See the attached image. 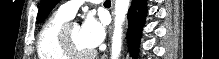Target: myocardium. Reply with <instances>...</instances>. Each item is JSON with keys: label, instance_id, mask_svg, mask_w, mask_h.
<instances>
[{"label": "myocardium", "instance_id": "obj_1", "mask_svg": "<svg viewBox=\"0 0 219 59\" xmlns=\"http://www.w3.org/2000/svg\"><path fill=\"white\" fill-rule=\"evenodd\" d=\"M70 25H71L70 23H66L61 30L60 45L62 51L70 59H87L93 57L95 55L94 50L80 51L74 46L68 31Z\"/></svg>", "mask_w": 219, "mask_h": 59}]
</instances>
